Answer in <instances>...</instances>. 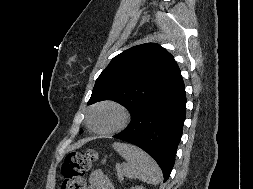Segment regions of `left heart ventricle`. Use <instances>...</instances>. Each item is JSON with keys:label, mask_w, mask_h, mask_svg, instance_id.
<instances>
[{"label": "left heart ventricle", "mask_w": 253, "mask_h": 189, "mask_svg": "<svg viewBox=\"0 0 253 189\" xmlns=\"http://www.w3.org/2000/svg\"><path fill=\"white\" fill-rule=\"evenodd\" d=\"M120 121L119 113L110 107L100 108L92 116V125L97 130H109Z\"/></svg>", "instance_id": "b2bd125f"}]
</instances>
